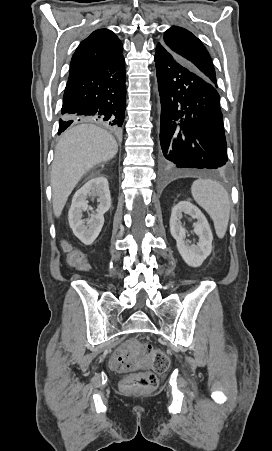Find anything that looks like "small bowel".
Segmentation results:
<instances>
[{"mask_svg":"<svg viewBox=\"0 0 272 451\" xmlns=\"http://www.w3.org/2000/svg\"><path fill=\"white\" fill-rule=\"evenodd\" d=\"M140 344L137 336H131L128 340L123 342L121 345H119L118 348H137V346ZM118 348L115 350L113 356H118Z\"/></svg>","mask_w":272,"mask_h":451,"instance_id":"obj_1","label":"small bowel"}]
</instances>
